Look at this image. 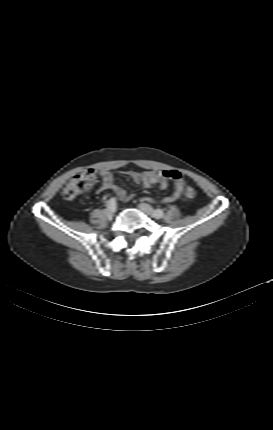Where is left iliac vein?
Here are the masks:
<instances>
[{
	"label": "left iliac vein",
	"mask_w": 273,
	"mask_h": 430,
	"mask_svg": "<svg viewBox=\"0 0 273 430\" xmlns=\"http://www.w3.org/2000/svg\"><path fill=\"white\" fill-rule=\"evenodd\" d=\"M138 207H139V208H140V210H141V211H143L145 214H147V215H149V216H151V217H154V218L158 219V218L156 217V215H155V213H154V211H153V209H152V207H151L150 205H148V204H146V203H140Z\"/></svg>",
	"instance_id": "4c4485c4"
}]
</instances>
